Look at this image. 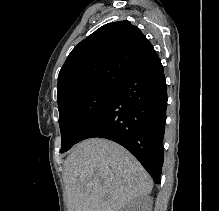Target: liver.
Instances as JSON below:
<instances>
[{"instance_id": "obj_1", "label": "liver", "mask_w": 219, "mask_h": 211, "mask_svg": "<svg viewBox=\"0 0 219 211\" xmlns=\"http://www.w3.org/2000/svg\"><path fill=\"white\" fill-rule=\"evenodd\" d=\"M68 211H121L133 197L152 191L153 179L125 147L89 137L64 163Z\"/></svg>"}]
</instances>
